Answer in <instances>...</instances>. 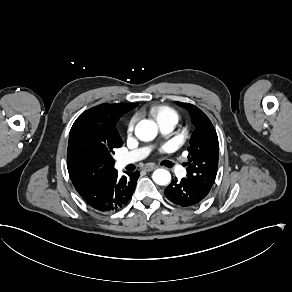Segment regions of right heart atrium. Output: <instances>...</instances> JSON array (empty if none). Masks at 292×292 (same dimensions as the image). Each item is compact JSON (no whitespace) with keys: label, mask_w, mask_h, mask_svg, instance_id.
Here are the masks:
<instances>
[{"label":"right heart atrium","mask_w":292,"mask_h":292,"mask_svg":"<svg viewBox=\"0 0 292 292\" xmlns=\"http://www.w3.org/2000/svg\"><path fill=\"white\" fill-rule=\"evenodd\" d=\"M135 124H136V118L134 116L131 117L127 121L126 126H125V134H126V137L127 138H130L131 137L132 132H133L134 127H135Z\"/></svg>","instance_id":"1"}]
</instances>
